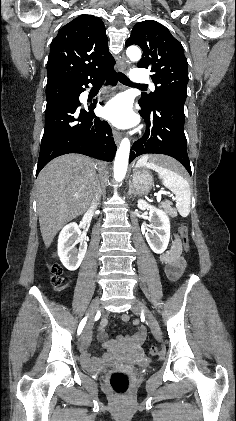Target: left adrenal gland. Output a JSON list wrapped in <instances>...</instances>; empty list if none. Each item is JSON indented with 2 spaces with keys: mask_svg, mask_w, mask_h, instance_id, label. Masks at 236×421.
I'll use <instances>...</instances> for the list:
<instances>
[{
  "mask_svg": "<svg viewBox=\"0 0 236 421\" xmlns=\"http://www.w3.org/2000/svg\"><path fill=\"white\" fill-rule=\"evenodd\" d=\"M132 192H134V194H136V192H135V190H134V188H133V184H131V182H130V184H129L128 194H132ZM130 198H132V196H130Z\"/></svg>",
  "mask_w": 236,
  "mask_h": 421,
  "instance_id": "obj_1",
  "label": "left adrenal gland"
}]
</instances>
